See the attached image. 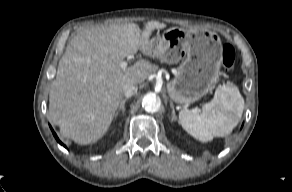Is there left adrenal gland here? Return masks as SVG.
I'll return each mask as SVG.
<instances>
[{"mask_svg":"<svg viewBox=\"0 0 292 192\" xmlns=\"http://www.w3.org/2000/svg\"><path fill=\"white\" fill-rule=\"evenodd\" d=\"M170 107L172 109V119H171V121L173 122V121H176L177 120V116L175 114V109H174L173 102H170Z\"/></svg>","mask_w":292,"mask_h":192,"instance_id":"obj_1","label":"left adrenal gland"}]
</instances>
